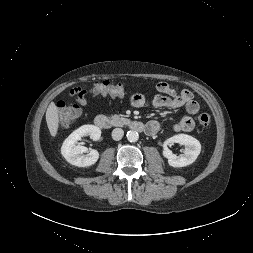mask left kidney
<instances>
[{
	"label": "left kidney",
	"instance_id": "5707ae66",
	"mask_svg": "<svg viewBox=\"0 0 253 253\" xmlns=\"http://www.w3.org/2000/svg\"><path fill=\"white\" fill-rule=\"evenodd\" d=\"M178 143L184 145V154L177 156L172 153L168 145ZM201 152L200 142L187 134H177L167 139L163 144V155L168 159V163L172 167H184L192 164Z\"/></svg>",
	"mask_w": 253,
	"mask_h": 253
}]
</instances>
